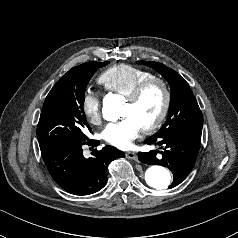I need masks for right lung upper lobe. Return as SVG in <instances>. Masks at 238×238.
I'll return each instance as SVG.
<instances>
[{
	"mask_svg": "<svg viewBox=\"0 0 238 238\" xmlns=\"http://www.w3.org/2000/svg\"><path fill=\"white\" fill-rule=\"evenodd\" d=\"M85 64V63H84ZM83 64H81V65H79V66H76V67H74V68H72V69H76V68H79V67H81Z\"/></svg>",
	"mask_w": 238,
	"mask_h": 238,
	"instance_id": "1",
	"label": "right lung upper lobe"
}]
</instances>
